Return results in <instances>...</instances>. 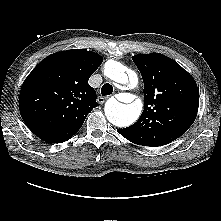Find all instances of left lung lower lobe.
<instances>
[{
  "label": "left lung lower lobe",
  "instance_id": "obj_1",
  "mask_svg": "<svg viewBox=\"0 0 221 221\" xmlns=\"http://www.w3.org/2000/svg\"><path fill=\"white\" fill-rule=\"evenodd\" d=\"M117 131H118L122 136H124L126 139H128V136H127L126 132H124L123 129H117Z\"/></svg>",
  "mask_w": 221,
  "mask_h": 221
}]
</instances>
